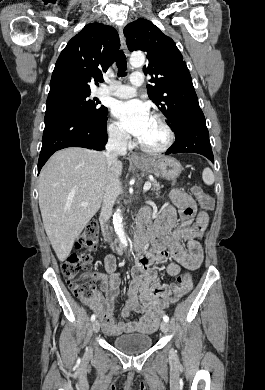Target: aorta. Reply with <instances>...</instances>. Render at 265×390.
<instances>
[{
	"instance_id": "aorta-1",
	"label": "aorta",
	"mask_w": 265,
	"mask_h": 390,
	"mask_svg": "<svg viewBox=\"0 0 265 390\" xmlns=\"http://www.w3.org/2000/svg\"><path fill=\"white\" fill-rule=\"evenodd\" d=\"M144 62L145 56L143 53H133L130 57V65L133 68L141 67ZM113 226L120 243L124 246H127L128 242L124 232L123 218L121 216L120 209H118L113 215Z\"/></svg>"
}]
</instances>
